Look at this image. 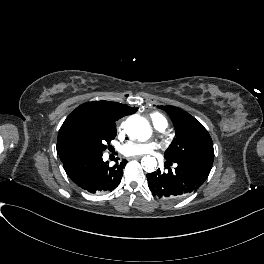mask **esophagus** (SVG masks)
<instances>
[{
	"label": "esophagus",
	"mask_w": 264,
	"mask_h": 264,
	"mask_svg": "<svg viewBox=\"0 0 264 264\" xmlns=\"http://www.w3.org/2000/svg\"><path fill=\"white\" fill-rule=\"evenodd\" d=\"M132 159L136 160V159H139V157L138 156H133Z\"/></svg>",
	"instance_id": "34e87169"
}]
</instances>
